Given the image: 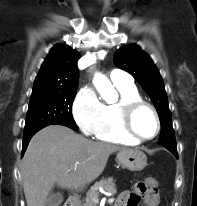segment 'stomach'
Masks as SVG:
<instances>
[{"label": "stomach", "mask_w": 197, "mask_h": 206, "mask_svg": "<svg viewBox=\"0 0 197 206\" xmlns=\"http://www.w3.org/2000/svg\"><path fill=\"white\" fill-rule=\"evenodd\" d=\"M117 160L130 171H141L147 166L146 155L137 149L121 150L117 153Z\"/></svg>", "instance_id": "0dacf381"}]
</instances>
